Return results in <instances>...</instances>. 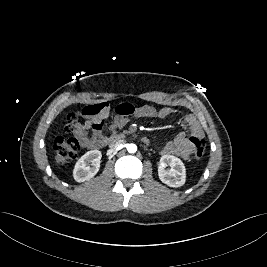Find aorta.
<instances>
[{"instance_id":"aorta-1","label":"aorta","mask_w":267,"mask_h":267,"mask_svg":"<svg viewBox=\"0 0 267 267\" xmlns=\"http://www.w3.org/2000/svg\"><path fill=\"white\" fill-rule=\"evenodd\" d=\"M127 151H128L129 153H136V151H137V146H136V144H133V143L128 144V145H127Z\"/></svg>"}]
</instances>
